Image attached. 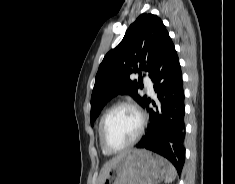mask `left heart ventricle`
<instances>
[{
    "instance_id": "1",
    "label": "left heart ventricle",
    "mask_w": 235,
    "mask_h": 184,
    "mask_svg": "<svg viewBox=\"0 0 235 184\" xmlns=\"http://www.w3.org/2000/svg\"><path fill=\"white\" fill-rule=\"evenodd\" d=\"M139 128L138 115L128 107L115 110L108 123L106 141L113 148L121 147L130 142Z\"/></svg>"
}]
</instances>
